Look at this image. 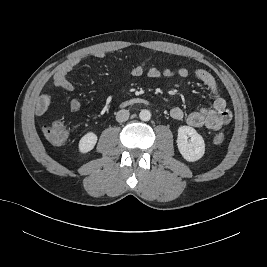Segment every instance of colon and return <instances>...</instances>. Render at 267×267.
I'll use <instances>...</instances> for the list:
<instances>
[{
    "label": "colon",
    "mask_w": 267,
    "mask_h": 267,
    "mask_svg": "<svg viewBox=\"0 0 267 267\" xmlns=\"http://www.w3.org/2000/svg\"><path fill=\"white\" fill-rule=\"evenodd\" d=\"M172 69L166 66H149L146 69V73H153L155 71H160L164 74L170 72ZM129 75L132 74V71L129 70ZM43 133L46 138L54 145H62L64 144L69 136V132L67 127L60 120H54L52 122L46 123L43 126ZM225 136L223 133H218L214 137V142L216 144H220L224 141Z\"/></svg>",
    "instance_id": "obj_1"
}]
</instances>
